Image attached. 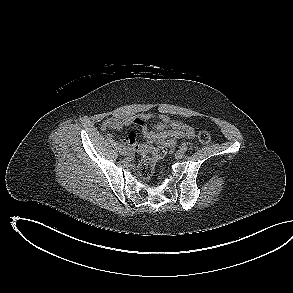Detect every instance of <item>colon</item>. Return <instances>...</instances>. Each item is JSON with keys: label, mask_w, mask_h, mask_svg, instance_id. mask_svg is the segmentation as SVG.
<instances>
[{"label": "colon", "mask_w": 293, "mask_h": 293, "mask_svg": "<svg viewBox=\"0 0 293 293\" xmlns=\"http://www.w3.org/2000/svg\"><path fill=\"white\" fill-rule=\"evenodd\" d=\"M198 140L202 144H209L211 142V135L206 131H202L198 134ZM175 145L176 142L167 140L155 147L148 156L140 161L138 165L139 175L144 179H149L154 173L156 161L169 154Z\"/></svg>", "instance_id": "colon-1"}]
</instances>
